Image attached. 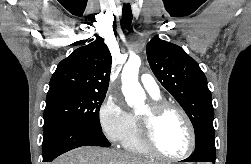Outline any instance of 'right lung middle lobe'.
<instances>
[{
    "label": "right lung middle lobe",
    "mask_w": 251,
    "mask_h": 164,
    "mask_svg": "<svg viewBox=\"0 0 251 164\" xmlns=\"http://www.w3.org/2000/svg\"><path fill=\"white\" fill-rule=\"evenodd\" d=\"M105 97V93L74 90L48 92L44 110V126L60 122L102 129L99 109Z\"/></svg>",
    "instance_id": "dd1d6c3e"
}]
</instances>
